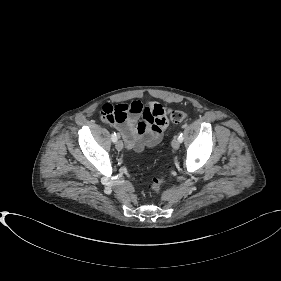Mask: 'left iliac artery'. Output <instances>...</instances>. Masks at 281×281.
<instances>
[{"mask_svg":"<svg viewBox=\"0 0 281 281\" xmlns=\"http://www.w3.org/2000/svg\"><path fill=\"white\" fill-rule=\"evenodd\" d=\"M178 139H179L180 142L183 141V134L181 132L179 133Z\"/></svg>","mask_w":281,"mask_h":281,"instance_id":"obj_1","label":"left iliac artery"}]
</instances>
